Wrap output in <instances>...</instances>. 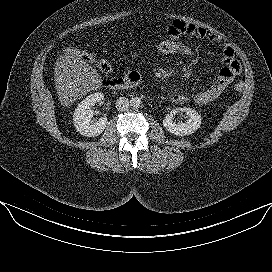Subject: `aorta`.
Segmentation results:
<instances>
[{"mask_svg":"<svg viewBox=\"0 0 272 272\" xmlns=\"http://www.w3.org/2000/svg\"><path fill=\"white\" fill-rule=\"evenodd\" d=\"M129 103L133 109H138L141 106L142 101L140 97L134 96L130 99Z\"/></svg>","mask_w":272,"mask_h":272,"instance_id":"1","label":"aorta"}]
</instances>
